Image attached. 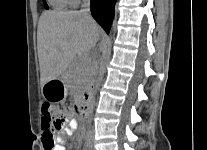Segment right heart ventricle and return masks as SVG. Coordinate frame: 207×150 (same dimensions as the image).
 I'll return each mask as SVG.
<instances>
[{
    "label": "right heart ventricle",
    "mask_w": 207,
    "mask_h": 150,
    "mask_svg": "<svg viewBox=\"0 0 207 150\" xmlns=\"http://www.w3.org/2000/svg\"><path fill=\"white\" fill-rule=\"evenodd\" d=\"M49 2L56 9H66L76 5L77 0H49Z\"/></svg>",
    "instance_id": "right-heart-ventricle-1"
}]
</instances>
